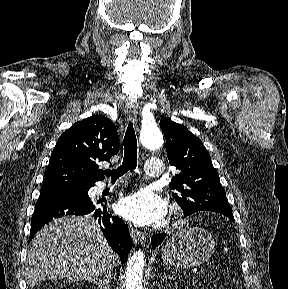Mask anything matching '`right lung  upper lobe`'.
I'll return each mask as SVG.
<instances>
[{
  "mask_svg": "<svg viewBox=\"0 0 288 289\" xmlns=\"http://www.w3.org/2000/svg\"><path fill=\"white\" fill-rule=\"evenodd\" d=\"M119 152V136L112 121L94 115L75 123L58 139L45 171L44 189L90 188L104 179L96 163Z\"/></svg>",
  "mask_w": 288,
  "mask_h": 289,
  "instance_id": "right-lung-upper-lobe-1",
  "label": "right lung upper lobe"
}]
</instances>
